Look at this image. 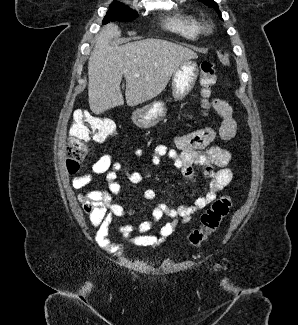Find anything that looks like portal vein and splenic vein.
Listing matches in <instances>:
<instances>
[{
  "instance_id": "obj_1",
  "label": "portal vein and splenic vein",
  "mask_w": 298,
  "mask_h": 325,
  "mask_svg": "<svg viewBox=\"0 0 298 325\" xmlns=\"http://www.w3.org/2000/svg\"><path fill=\"white\" fill-rule=\"evenodd\" d=\"M134 76H139V74H134Z\"/></svg>"
}]
</instances>
